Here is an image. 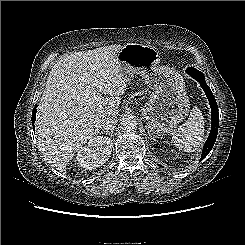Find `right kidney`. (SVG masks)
I'll use <instances>...</instances> for the list:
<instances>
[{"mask_svg":"<svg viewBox=\"0 0 245 245\" xmlns=\"http://www.w3.org/2000/svg\"><path fill=\"white\" fill-rule=\"evenodd\" d=\"M112 140L108 137L97 136L89 140L76 155L80 167L92 170L108 161L112 152Z\"/></svg>","mask_w":245,"mask_h":245,"instance_id":"ca27d5eb","label":"right kidney"}]
</instances>
